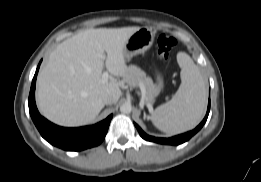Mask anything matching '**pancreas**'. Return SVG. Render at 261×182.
Wrapping results in <instances>:
<instances>
[{"label":"pancreas","instance_id":"pancreas-1","mask_svg":"<svg viewBox=\"0 0 261 182\" xmlns=\"http://www.w3.org/2000/svg\"><path fill=\"white\" fill-rule=\"evenodd\" d=\"M124 79L129 86L140 87L145 90L144 100L146 103L152 104L154 102V97L158 94L159 90L143 70L135 65H130L127 68Z\"/></svg>","mask_w":261,"mask_h":182}]
</instances>
